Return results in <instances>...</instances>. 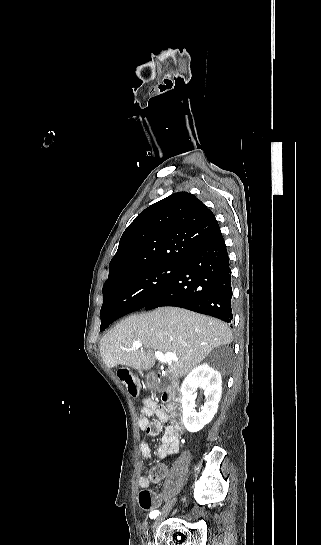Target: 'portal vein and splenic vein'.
I'll return each instance as SVG.
<instances>
[{
	"instance_id": "1",
	"label": "portal vein and splenic vein",
	"mask_w": 321,
	"mask_h": 545,
	"mask_svg": "<svg viewBox=\"0 0 321 545\" xmlns=\"http://www.w3.org/2000/svg\"><path fill=\"white\" fill-rule=\"evenodd\" d=\"M143 347L142 343L140 341H134L132 349H125V351H135V349H141ZM156 359L158 361H161V363H172V361H178L176 355L174 353H161V351H155L154 353Z\"/></svg>"
}]
</instances>
